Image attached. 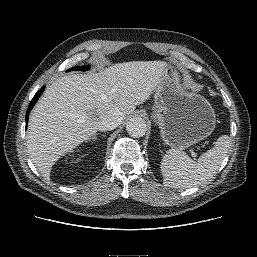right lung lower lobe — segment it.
<instances>
[{
  "label": "right lung lower lobe",
  "instance_id": "right-lung-lower-lobe-1",
  "mask_svg": "<svg viewBox=\"0 0 257 257\" xmlns=\"http://www.w3.org/2000/svg\"><path fill=\"white\" fill-rule=\"evenodd\" d=\"M45 89V86H43L39 91H37V93L35 94V96L33 97L32 101L29 104V108L26 112V126L28 124V117H29V113L30 110L32 109V107L35 105V103L37 102L38 98L41 96V94L43 93Z\"/></svg>",
  "mask_w": 257,
  "mask_h": 257
}]
</instances>
